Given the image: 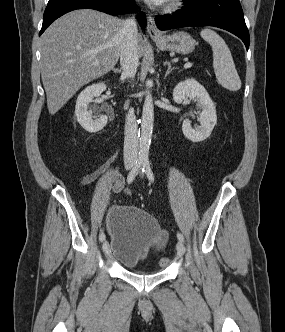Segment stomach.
I'll return each instance as SVG.
<instances>
[{
  "instance_id": "obj_1",
  "label": "stomach",
  "mask_w": 285,
  "mask_h": 332,
  "mask_svg": "<svg viewBox=\"0 0 285 332\" xmlns=\"http://www.w3.org/2000/svg\"><path fill=\"white\" fill-rule=\"evenodd\" d=\"M157 47L163 51H174L180 54H190L195 49V40L187 32H176L154 38Z\"/></svg>"
}]
</instances>
